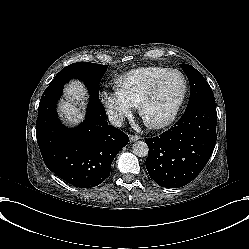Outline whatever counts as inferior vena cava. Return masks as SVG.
Here are the masks:
<instances>
[{
    "label": "inferior vena cava",
    "instance_id": "1",
    "mask_svg": "<svg viewBox=\"0 0 249 249\" xmlns=\"http://www.w3.org/2000/svg\"><path fill=\"white\" fill-rule=\"evenodd\" d=\"M108 122L114 127H121L124 121V115L110 108L107 110Z\"/></svg>",
    "mask_w": 249,
    "mask_h": 249
}]
</instances>
